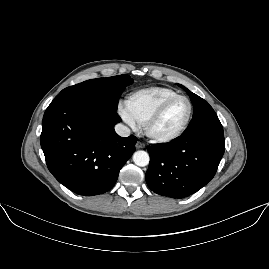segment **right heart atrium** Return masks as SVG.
I'll return each mask as SVG.
<instances>
[{
    "label": "right heart atrium",
    "instance_id": "obj_1",
    "mask_svg": "<svg viewBox=\"0 0 269 269\" xmlns=\"http://www.w3.org/2000/svg\"><path fill=\"white\" fill-rule=\"evenodd\" d=\"M119 112H120V115L122 116V118L124 119V121H126L132 127L136 126L135 121L130 116V114L127 111L124 110L122 105L119 106Z\"/></svg>",
    "mask_w": 269,
    "mask_h": 269
}]
</instances>
